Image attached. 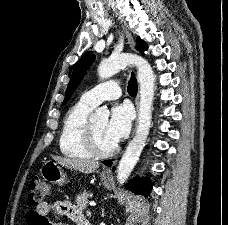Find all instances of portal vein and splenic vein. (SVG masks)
<instances>
[{
  "label": "portal vein and splenic vein",
  "instance_id": "portal-vein-and-splenic-vein-1",
  "mask_svg": "<svg viewBox=\"0 0 228 225\" xmlns=\"http://www.w3.org/2000/svg\"><path fill=\"white\" fill-rule=\"evenodd\" d=\"M89 205H91V207H94V205H96V203H89Z\"/></svg>",
  "mask_w": 228,
  "mask_h": 225
}]
</instances>
